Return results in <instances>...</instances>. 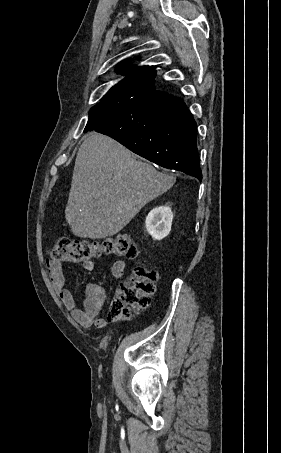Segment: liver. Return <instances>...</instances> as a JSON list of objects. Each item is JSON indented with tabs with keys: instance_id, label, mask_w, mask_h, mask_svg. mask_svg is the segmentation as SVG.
Returning <instances> with one entry per match:
<instances>
[{
	"instance_id": "liver-1",
	"label": "liver",
	"mask_w": 281,
	"mask_h": 453,
	"mask_svg": "<svg viewBox=\"0 0 281 453\" xmlns=\"http://www.w3.org/2000/svg\"><path fill=\"white\" fill-rule=\"evenodd\" d=\"M175 180L133 158L131 150L110 136L89 132L77 152L66 220L81 239L113 237Z\"/></svg>"
}]
</instances>
